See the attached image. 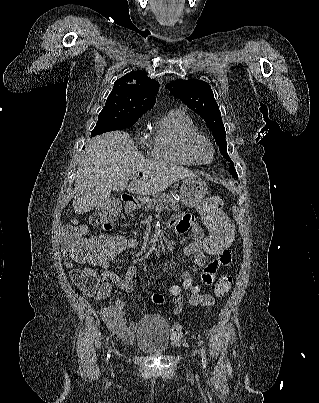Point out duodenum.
<instances>
[{"mask_svg": "<svg viewBox=\"0 0 319 403\" xmlns=\"http://www.w3.org/2000/svg\"><path fill=\"white\" fill-rule=\"evenodd\" d=\"M122 200L126 206L128 211L136 210L140 208V202H138L132 195L130 194H123ZM170 226V223H168Z\"/></svg>", "mask_w": 319, "mask_h": 403, "instance_id": "1", "label": "duodenum"}]
</instances>
